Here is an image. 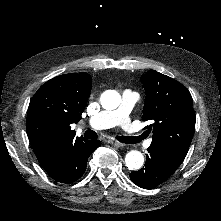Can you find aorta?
<instances>
[{
    "mask_svg": "<svg viewBox=\"0 0 221 221\" xmlns=\"http://www.w3.org/2000/svg\"><path fill=\"white\" fill-rule=\"evenodd\" d=\"M121 101V96L116 91L105 92L101 96V105L104 109H116ZM125 164L129 170H139L144 164L143 154L137 150L129 151L125 156Z\"/></svg>",
    "mask_w": 221,
    "mask_h": 221,
    "instance_id": "762f6f07",
    "label": "aorta"
}]
</instances>
